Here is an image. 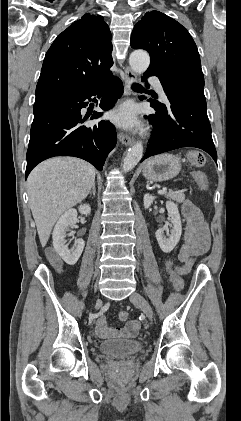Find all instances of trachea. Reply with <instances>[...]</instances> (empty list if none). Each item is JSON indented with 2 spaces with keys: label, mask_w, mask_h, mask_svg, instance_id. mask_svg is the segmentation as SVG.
Wrapping results in <instances>:
<instances>
[{
  "label": "trachea",
  "mask_w": 241,
  "mask_h": 421,
  "mask_svg": "<svg viewBox=\"0 0 241 421\" xmlns=\"http://www.w3.org/2000/svg\"><path fill=\"white\" fill-rule=\"evenodd\" d=\"M132 89H134V90H143V87L141 85L137 84V83H134L132 85Z\"/></svg>",
  "instance_id": "obj_1"
}]
</instances>
